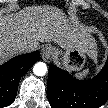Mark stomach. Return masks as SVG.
I'll return each instance as SVG.
<instances>
[{
  "mask_svg": "<svg viewBox=\"0 0 108 108\" xmlns=\"http://www.w3.org/2000/svg\"><path fill=\"white\" fill-rule=\"evenodd\" d=\"M90 41L95 44V52L88 48L81 50L78 47H66L59 49L58 47H50L53 51L52 58L59 59L63 68L68 71H80L84 68L87 58H96V43L94 38L91 37Z\"/></svg>",
  "mask_w": 108,
  "mask_h": 108,
  "instance_id": "1",
  "label": "stomach"
}]
</instances>
